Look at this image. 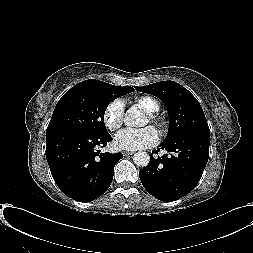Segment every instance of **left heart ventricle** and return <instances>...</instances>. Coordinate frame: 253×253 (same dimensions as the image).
<instances>
[{
	"label": "left heart ventricle",
	"instance_id": "1",
	"mask_svg": "<svg viewBox=\"0 0 253 253\" xmlns=\"http://www.w3.org/2000/svg\"><path fill=\"white\" fill-rule=\"evenodd\" d=\"M149 123H150L149 119L146 117L143 124H142V126H147Z\"/></svg>",
	"mask_w": 253,
	"mask_h": 253
}]
</instances>
